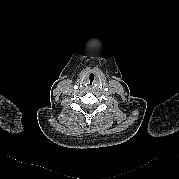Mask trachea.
<instances>
[{
  "label": "trachea",
  "mask_w": 179,
  "mask_h": 179,
  "mask_svg": "<svg viewBox=\"0 0 179 179\" xmlns=\"http://www.w3.org/2000/svg\"><path fill=\"white\" fill-rule=\"evenodd\" d=\"M96 80H97L96 77L92 75V76L89 77L87 82H88L89 85L92 86V85L95 84Z\"/></svg>",
  "instance_id": "3493384b"
}]
</instances>
